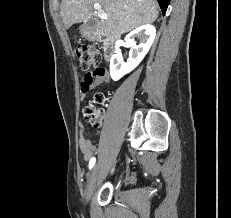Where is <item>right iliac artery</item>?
<instances>
[{
  "label": "right iliac artery",
  "mask_w": 231,
  "mask_h": 218,
  "mask_svg": "<svg viewBox=\"0 0 231 218\" xmlns=\"http://www.w3.org/2000/svg\"><path fill=\"white\" fill-rule=\"evenodd\" d=\"M95 161H96L95 157H92V158L90 159V162H89V168H90V169L94 166Z\"/></svg>",
  "instance_id": "obj_1"
}]
</instances>
